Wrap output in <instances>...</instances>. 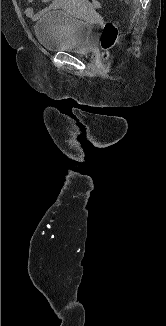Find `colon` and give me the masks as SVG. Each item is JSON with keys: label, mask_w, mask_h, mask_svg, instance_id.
<instances>
[{"label": "colon", "mask_w": 166, "mask_h": 326, "mask_svg": "<svg viewBox=\"0 0 166 326\" xmlns=\"http://www.w3.org/2000/svg\"><path fill=\"white\" fill-rule=\"evenodd\" d=\"M92 5L94 8H99L100 3L98 0H92ZM118 39V28L113 22H106L101 36H100V44L101 47L105 50L103 55V60H107L109 58L108 50L114 46Z\"/></svg>", "instance_id": "5ec220e1"}]
</instances>
